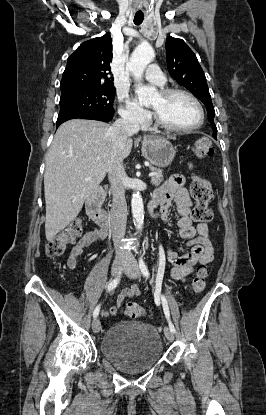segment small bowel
Wrapping results in <instances>:
<instances>
[{"label":"small bowel","instance_id":"obj_1","mask_svg":"<svg viewBox=\"0 0 266 415\" xmlns=\"http://www.w3.org/2000/svg\"><path fill=\"white\" fill-rule=\"evenodd\" d=\"M185 182L182 175H172L161 187L156 189L150 203L151 210L159 207L154 215L166 223L170 221L171 203L173 200L176 203V211L179 215L177 222L178 234L180 238L187 240L186 247L190 249L189 252L184 254H179L171 248L167 249V259L172 265L169 276L177 281H184L197 265L209 264L214 259V248L207 224L199 223L194 226L190 218L192 201L185 187ZM106 235V231L101 228H94L86 232L71 249L67 261L68 267L74 269L84 249L94 242L104 239ZM139 294L140 289L137 285L123 289L117 298V306L103 311V315H116L118 306L125 298L137 297Z\"/></svg>","mask_w":266,"mask_h":415}]
</instances>
